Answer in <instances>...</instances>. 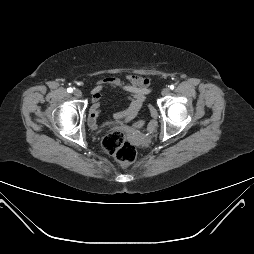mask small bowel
I'll return each instance as SVG.
<instances>
[{
	"label": "small bowel",
	"instance_id": "c3829d8e",
	"mask_svg": "<svg viewBox=\"0 0 254 254\" xmlns=\"http://www.w3.org/2000/svg\"><path fill=\"white\" fill-rule=\"evenodd\" d=\"M151 80L149 77L139 75H128L125 80L116 76H109L100 79L96 82L95 87L91 91V107L89 109L88 122L92 127H97V119L101 112L103 91L106 88L118 89L126 92L131 103L129 107L122 112L114 115V119L131 120L140 110L146 95L150 92ZM151 116L155 119L157 112L154 109L150 110ZM156 122L152 120L148 128L154 130Z\"/></svg>",
	"mask_w": 254,
	"mask_h": 254
}]
</instances>
